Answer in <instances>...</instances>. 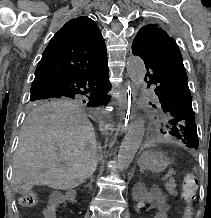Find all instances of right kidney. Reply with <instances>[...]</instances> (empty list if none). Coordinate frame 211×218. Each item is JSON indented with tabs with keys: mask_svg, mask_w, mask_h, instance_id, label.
<instances>
[{
	"mask_svg": "<svg viewBox=\"0 0 211 218\" xmlns=\"http://www.w3.org/2000/svg\"><path fill=\"white\" fill-rule=\"evenodd\" d=\"M50 201H47V209H44V214L47 218H59L60 210L58 206H66V202H70L76 198L75 190L68 188L66 196L64 193H49Z\"/></svg>",
	"mask_w": 211,
	"mask_h": 218,
	"instance_id": "obj_1",
	"label": "right kidney"
}]
</instances>
